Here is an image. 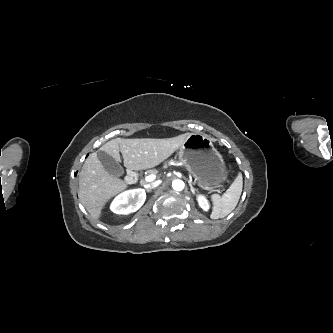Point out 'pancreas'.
I'll return each mask as SVG.
<instances>
[{"mask_svg":"<svg viewBox=\"0 0 333 333\" xmlns=\"http://www.w3.org/2000/svg\"><path fill=\"white\" fill-rule=\"evenodd\" d=\"M167 167H168V164L165 163V164L163 165V168H167ZM150 172H154V170H151Z\"/></svg>","mask_w":333,"mask_h":333,"instance_id":"pancreas-1","label":"pancreas"}]
</instances>
